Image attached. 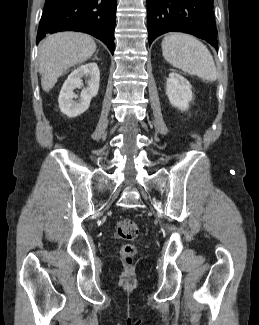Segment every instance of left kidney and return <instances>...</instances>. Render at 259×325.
<instances>
[{"label":"left kidney","mask_w":259,"mask_h":325,"mask_svg":"<svg viewBox=\"0 0 259 325\" xmlns=\"http://www.w3.org/2000/svg\"><path fill=\"white\" fill-rule=\"evenodd\" d=\"M166 94L171 105L185 111L192 100V87L181 75L170 73L166 82Z\"/></svg>","instance_id":"1"}]
</instances>
